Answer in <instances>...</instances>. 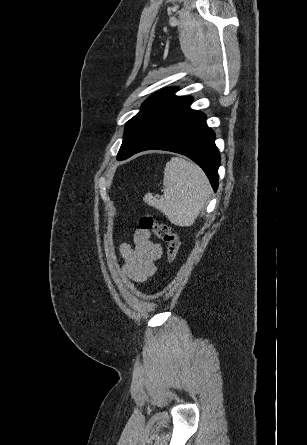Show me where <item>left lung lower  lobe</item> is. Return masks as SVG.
<instances>
[{
  "instance_id": "obj_1",
  "label": "left lung lower lobe",
  "mask_w": 307,
  "mask_h": 445,
  "mask_svg": "<svg viewBox=\"0 0 307 445\" xmlns=\"http://www.w3.org/2000/svg\"><path fill=\"white\" fill-rule=\"evenodd\" d=\"M214 140L215 133L206 125L205 114L190 110L149 137L125 159L151 149L183 154L204 170L216 191L220 155Z\"/></svg>"
}]
</instances>
